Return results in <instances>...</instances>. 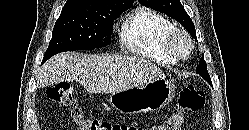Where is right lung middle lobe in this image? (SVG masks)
<instances>
[{
  "instance_id": "dd1d6c3e",
  "label": "right lung middle lobe",
  "mask_w": 249,
  "mask_h": 130,
  "mask_svg": "<svg viewBox=\"0 0 249 130\" xmlns=\"http://www.w3.org/2000/svg\"><path fill=\"white\" fill-rule=\"evenodd\" d=\"M132 4H113L97 11L62 9L43 62L63 51L93 50L110 44L113 20Z\"/></svg>"
}]
</instances>
